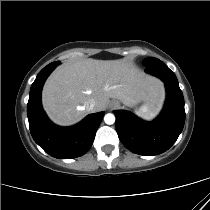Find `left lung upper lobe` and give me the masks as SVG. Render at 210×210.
<instances>
[{"label":"left lung upper lobe","instance_id":"5c2ea615","mask_svg":"<svg viewBox=\"0 0 210 210\" xmlns=\"http://www.w3.org/2000/svg\"><path fill=\"white\" fill-rule=\"evenodd\" d=\"M158 60L159 59H157V58H146L142 61V63H143L144 66H147V65H150L154 62H157Z\"/></svg>","mask_w":210,"mask_h":210}]
</instances>
